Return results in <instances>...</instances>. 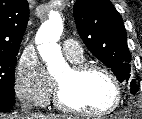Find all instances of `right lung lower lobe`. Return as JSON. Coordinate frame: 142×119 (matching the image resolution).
Masks as SVG:
<instances>
[{
    "label": "right lung lower lobe",
    "mask_w": 142,
    "mask_h": 119,
    "mask_svg": "<svg viewBox=\"0 0 142 119\" xmlns=\"http://www.w3.org/2000/svg\"><path fill=\"white\" fill-rule=\"evenodd\" d=\"M15 103V99L11 100L9 98L0 96V112H6L10 110Z\"/></svg>",
    "instance_id": "obj_1"
}]
</instances>
